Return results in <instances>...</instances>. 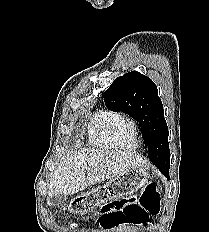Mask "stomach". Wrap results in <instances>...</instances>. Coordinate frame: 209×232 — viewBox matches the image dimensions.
<instances>
[{
    "mask_svg": "<svg viewBox=\"0 0 209 232\" xmlns=\"http://www.w3.org/2000/svg\"><path fill=\"white\" fill-rule=\"evenodd\" d=\"M148 172L145 168H135L129 171H122L120 176H114L111 182H105L101 188H93L88 194H76L72 201H68V211L71 214H90L96 211L97 207L111 203L112 199H124L125 195L136 193L148 182Z\"/></svg>",
    "mask_w": 209,
    "mask_h": 232,
    "instance_id": "0dacf381",
    "label": "stomach"
}]
</instances>
